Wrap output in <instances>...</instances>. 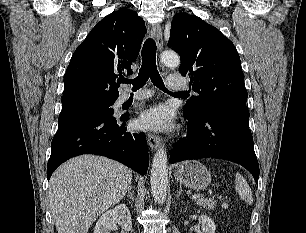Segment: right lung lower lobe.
I'll list each match as a JSON object with an SVG mask.
<instances>
[{
	"instance_id": "obj_1",
	"label": "right lung lower lobe",
	"mask_w": 306,
	"mask_h": 233,
	"mask_svg": "<svg viewBox=\"0 0 306 233\" xmlns=\"http://www.w3.org/2000/svg\"><path fill=\"white\" fill-rule=\"evenodd\" d=\"M129 114H95L58 126L51 143L47 178L66 160L81 154H95L117 160L140 174H146L149 161L144 133L129 132Z\"/></svg>"
}]
</instances>
